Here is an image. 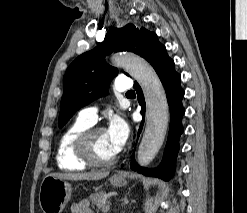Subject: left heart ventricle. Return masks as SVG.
<instances>
[{"label": "left heart ventricle", "mask_w": 247, "mask_h": 213, "mask_svg": "<svg viewBox=\"0 0 247 213\" xmlns=\"http://www.w3.org/2000/svg\"><path fill=\"white\" fill-rule=\"evenodd\" d=\"M92 153L99 160H108L116 155L107 138L106 131H100L94 136Z\"/></svg>", "instance_id": "obj_1"}]
</instances>
